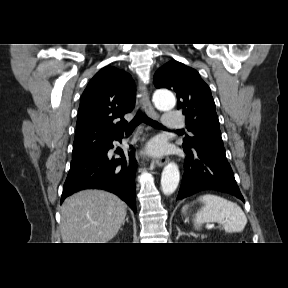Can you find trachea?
<instances>
[{"mask_svg":"<svg viewBox=\"0 0 288 288\" xmlns=\"http://www.w3.org/2000/svg\"><path fill=\"white\" fill-rule=\"evenodd\" d=\"M141 122H144V123H146L152 127L158 128V129H165V127L161 123H159L155 120H152L151 118L147 117L145 114H143L142 112L139 111L135 115L133 120L125 126V131L126 132L133 131L135 129V127L138 126Z\"/></svg>","mask_w":288,"mask_h":288,"instance_id":"trachea-1","label":"trachea"}]
</instances>
